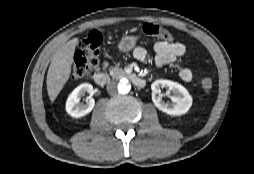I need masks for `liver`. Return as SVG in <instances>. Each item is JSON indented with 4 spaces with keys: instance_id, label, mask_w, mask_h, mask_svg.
Listing matches in <instances>:
<instances>
[{
    "instance_id": "liver-1",
    "label": "liver",
    "mask_w": 254,
    "mask_h": 174,
    "mask_svg": "<svg viewBox=\"0 0 254 174\" xmlns=\"http://www.w3.org/2000/svg\"><path fill=\"white\" fill-rule=\"evenodd\" d=\"M77 44L78 38H73L62 45L50 63L46 84L51 102H54L70 77L73 55Z\"/></svg>"
}]
</instances>
